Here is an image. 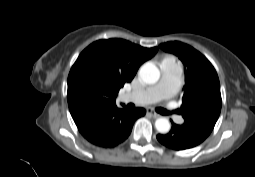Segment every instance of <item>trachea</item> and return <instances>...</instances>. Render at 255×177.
Masks as SVG:
<instances>
[{
	"instance_id": "obj_1",
	"label": "trachea",
	"mask_w": 255,
	"mask_h": 177,
	"mask_svg": "<svg viewBox=\"0 0 255 177\" xmlns=\"http://www.w3.org/2000/svg\"><path fill=\"white\" fill-rule=\"evenodd\" d=\"M156 111H157L158 113L162 114V115H169V114H170L169 111H167V110H165V109H163V108H157ZM174 112L177 113L178 111H173L172 113H174Z\"/></svg>"
}]
</instances>
